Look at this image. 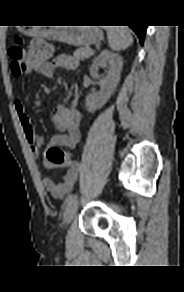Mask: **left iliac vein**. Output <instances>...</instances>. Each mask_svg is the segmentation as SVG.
I'll return each instance as SVG.
<instances>
[{"mask_svg":"<svg viewBox=\"0 0 184 292\" xmlns=\"http://www.w3.org/2000/svg\"><path fill=\"white\" fill-rule=\"evenodd\" d=\"M77 210H78V202L77 201H74L70 205H68L66 212H65V216H64V223L66 225H69L73 221V219L77 213Z\"/></svg>","mask_w":184,"mask_h":292,"instance_id":"1","label":"left iliac vein"}]
</instances>
